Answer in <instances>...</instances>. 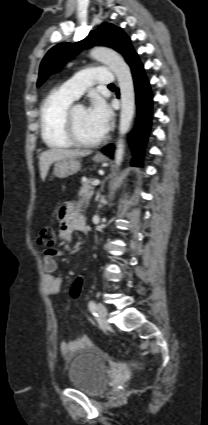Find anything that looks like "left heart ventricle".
Here are the masks:
<instances>
[{
  "label": "left heart ventricle",
  "mask_w": 208,
  "mask_h": 425,
  "mask_svg": "<svg viewBox=\"0 0 208 425\" xmlns=\"http://www.w3.org/2000/svg\"><path fill=\"white\" fill-rule=\"evenodd\" d=\"M74 121L77 134L83 141H95L102 137L91 122L87 109L84 107L76 108Z\"/></svg>",
  "instance_id": "obj_1"
}]
</instances>
